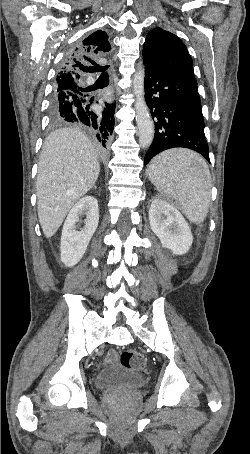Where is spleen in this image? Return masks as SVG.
Wrapping results in <instances>:
<instances>
[{
  "label": "spleen",
  "instance_id": "3e777b00",
  "mask_svg": "<svg viewBox=\"0 0 250 454\" xmlns=\"http://www.w3.org/2000/svg\"><path fill=\"white\" fill-rule=\"evenodd\" d=\"M155 187L172 198L188 220L202 223L209 211L211 175L205 160L186 149H171L157 155L148 166Z\"/></svg>",
  "mask_w": 250,
  "mask_h": 454
}]
</instances>
